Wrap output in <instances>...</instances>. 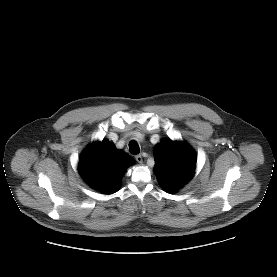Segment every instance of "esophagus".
Returning a JSON list of instances; mask_svg holds the SVG:
<instances>
[{"label":"esophagus","instance_id":"obj_1","mask_svg":"<svg viewBox=\"0 0 277 277\" xmlns=\"http://www.w3.org/2000/svg\"><path fill=\"white\" fill-rule=\"evenodd\" d=\"M135 159H136V161H137L138 163H142V162H143V158H142L141 155H136V156H135Z\"/></svg>","mask_w":277,"mask_h":277}]
</instances>
